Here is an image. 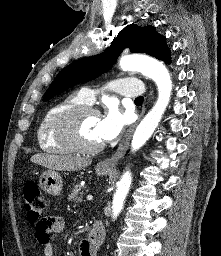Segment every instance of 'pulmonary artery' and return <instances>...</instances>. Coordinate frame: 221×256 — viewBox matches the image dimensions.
<instances>
[{
  "label": "pulmonary artery",
  "mask_w": 221,
  "mask_h": 256,
  "mask_svg": "<svg viewBox=\"0 0 221 256\" xmlns=\"http://www.w3.org/2000/svg\"><path fill=\"white\" fill-rule=\"evenodd\" d=\"M114 90L126 97H137L143 93L142 83L133 78H121L113 83ZM83 98L88 103H93L95 100V91L90 88H83L80 91Z\"/></svg>",
  "instance_id": "e3ab8cb5"
}]
</instances>
